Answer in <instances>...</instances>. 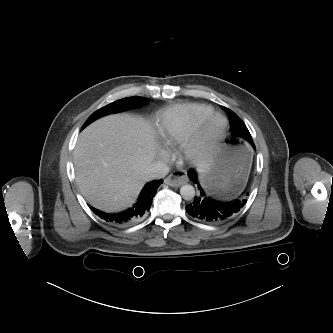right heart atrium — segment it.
<instances>
[{
	"instance_id": "d8ad5b80",
	"label": "right heart atrium",
	"mask_w": 333,
	"mask_h": 333,
	"mask_svg": "<svg viewBox=\"0 0 333 333\" xmlns=\"http://www.w3.org/2000/svg\"><path fill=\"white\" fill-rule=\"evenodd\" d=\"M159 154H160V156L163 158V159H167V153L164 151V150H160L159 151Z\"/></svg>"
}]
</instances>
